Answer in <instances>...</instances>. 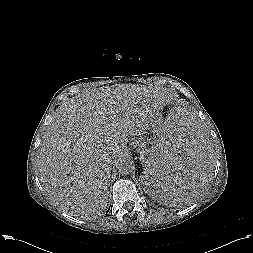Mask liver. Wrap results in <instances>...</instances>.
Instances as JSON below:
<instances>
[{"label":"liver","mask_w":253,"mask_h":253,"mask_svg":"<svg viewBox=\"0 0 253 253\" xmlns=\"http://www.w3.org/2000/svg\"><path fill=\"white\" fill-rule=\"evenodd\" d=\"M170 98L166 89L121 84L87 89L63 102L37 156L50 201L74 217L101 214L112 164L126 150L128 137L138 136Z\"/></svg>","instance_id":"liver-1"}]
</instances>
